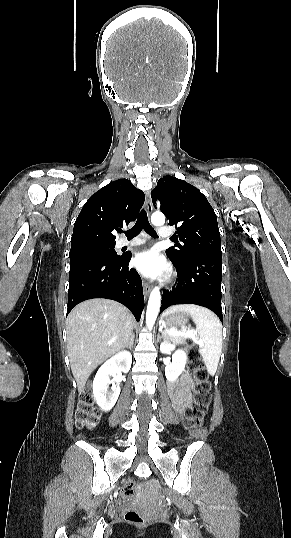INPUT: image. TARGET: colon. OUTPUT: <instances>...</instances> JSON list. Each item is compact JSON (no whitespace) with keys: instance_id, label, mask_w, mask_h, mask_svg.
<instances>
[{"instance_id":"1","label":"colon","mask_w":291,"mask_h":538,"mask_svg":"<svg viewBox=\"0 0 291 538\" xmlns=\"http://www.w3.org/2000/svg\"><path fill=\"white\" fill-rule=\"evenodd\" d=\"M185 350L193 365L195 380L193 401L185 409V426L193 429L200 424L201 419L206 412L210 402L211 385L208 373L197 350L191 346H186ZM75 418L76 425L79 428H93L100 418V411L94 404V397L89 387L84 389L80 394ZM123 493L127 497H131L135 493V488L131 480H125L123 484ZM125 520L136 526H143L147 523L146 518L135 510L127 511Z\"/></svg>"}]
</instances>
